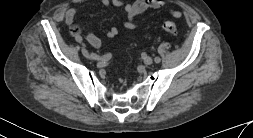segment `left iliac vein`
I'll list each match as a JSON object with an SVG mask.
<instances>
[{"instance_id":"obj_1","label":"left iliac vein","mask_w":253,"mask_h":138,"mask_svg":"<svg viewBox=\"0 0 253 138\" xmlns=\"http://www.w3.org/2000/svg\"><path fill=\"white\" fill-rule=\"evenodd\" d=\"M143 62H144V64H146V65H150V64H152L153 59H152L151 57H149V56H145V57L143 58Z\"/></svg>"}]
</instances>
